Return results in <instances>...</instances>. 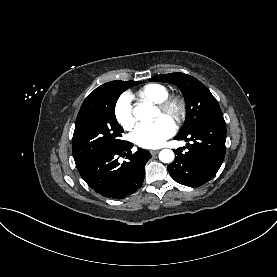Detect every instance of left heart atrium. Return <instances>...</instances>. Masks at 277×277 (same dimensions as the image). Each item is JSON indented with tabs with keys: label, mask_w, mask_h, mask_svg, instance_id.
I'll list each match as a JSON object with an SVG mask.
<instances>
[{
	"label": "left heart atrium",
	"mask_w": 277,
	"mask_h": 277,
	"mask_svg": "<svg viewBox=\"0 0 277 277\" xmlns=\"http://www.w3.org/2000/svg\"><path fill=\"white\" fill-rule=\"evenodd\" d=\"M175 124L167 117H160L151 124L138 126L132 134L133 141L143 148H157L174 135Z\"/></svg>",
	"instance_id": "obj_1"
}]
</instances>
